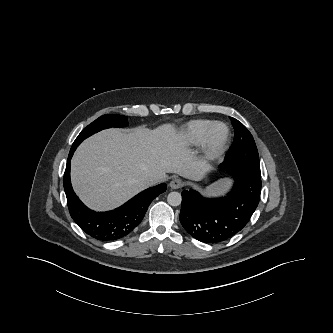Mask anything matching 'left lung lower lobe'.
Returning a JSON list of instances; mask_svg holds the SVG:
<instances>
[{
	"instance_id": "obj_1",
	"label": "left lung lower lobe",
	"mask_w": 333,
	"mask_h": 333,
	"mask_svg": "<svg viewBox=\"0 0 333 333\" xmlns=\"http://www.w3.org/2000/svg\"><path fill=\"white\" fill-rule=\"evenodd\" d=\"M221 165L234 179L226 196L204 198L195 190L182 192L180 222L192 237L204 243H219L241 231L260 200L261 174L227 158Z\"/></svg>"
}]
</instances>
